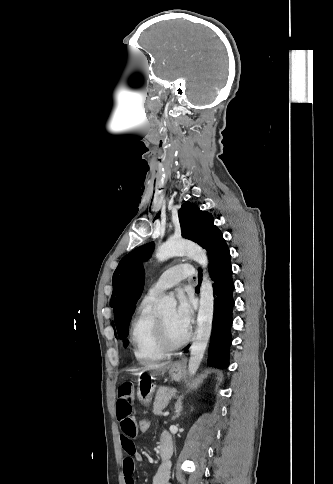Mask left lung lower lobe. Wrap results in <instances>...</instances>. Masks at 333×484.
I'll return each mask as SVG.
<instances>
[{
    "instance_id": "1",
    "label": "left lung lower lobe",
    "mask_w": 333,
    "mask_h": 484,
    "mask_svg": "<svg viewBox=\"0 0 333 484\" xmlns=\"http://www.w3.org/2000/svg\"><path fill=\"white\" fill-rule=\"evenodd\" d=\"M207 250L210 277L214 281V315L209 347L208 364L226 368L229 363L231 345L232 309L234 306L232 268L230 252L221 231L211 221L206 226L203 245ZM199 270V285L201 283Z\"/></svg>"
}]
</instances>
